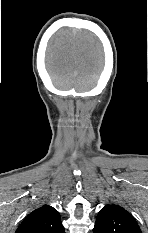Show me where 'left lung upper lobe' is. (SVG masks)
Segmentation results:
<instances>
[{
  "instance_id": "1",
  "label": "left lung upper lobe",
  "mask_w": 148,
  "mask_h": 233,
  "mask_svg": "<svg viewBox=\"0 0 148 233\" xmlns=\"http://www.w3.org/2000/svg\"><path fill=\"white\" fill-rule=\"evenodd\" d=\"M93 233H142L134 217L124 208L109 204L98 213Z\"/></svg>"
}]
</instances>
